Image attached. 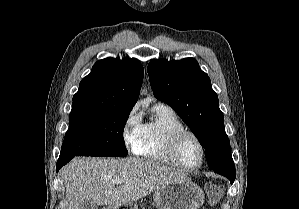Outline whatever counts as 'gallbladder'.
<instances>
[{"label": "gallbladder", "mask_w": 299, "mask_h": 209, "mask_svg": "<svg viewBox=\"0 0 299 209\" xmlns=\"http://www.w3.org/2000/svg\"><path fill=\"white\" fill-rule=\"evenodd\" d=\"M81 209H98L97 205L90 200H85Z\"/></svg>", "instance_id": "1"}]
</instances>
